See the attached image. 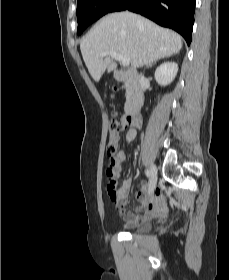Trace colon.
<instances>
[{"instance_id":"obj_1","label":"colon","mask_w":229,"mask_h":280,"mask_svg":"<svg viewBox=\"0 0 229 280\" xmlns=\"http://www.w3.org/2000/svg\"><path fill=\"white\" fill-rule=\"evenodd\" d=\"M128 121H123L116 117L115 115L110 119L109 122V138L106 148L107 154V175L109 180L112 183V186H116V180L114 178V156L120 151L121 145L119 141V135L123 132L128 126Z\"/></svg>"}]
</instances>
